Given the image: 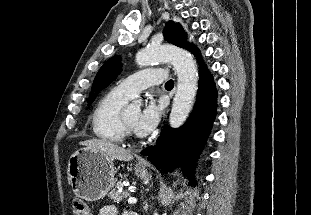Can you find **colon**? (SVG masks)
Masks as SVG:
<instances>
[{
    "label": "colon",
    "instance_id": "colon-1",
    "mask_svg": "<svg viewBox=\"0 0 311 215\" xmlns=\"http://www.w3.org/2000/svg\"><path fill=\"white\" fill-rule=\"evenodd\" d=\"M73 215H92L86 202L81 199H74L72 204Z\"/></svg>",
    "mask_w": 311,
    "mask_h": 215
}]
</instances>
